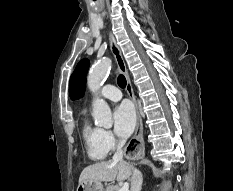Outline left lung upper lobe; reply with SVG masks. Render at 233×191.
<instances>
[{"label": "left lung upper lobe", "mask_w": 233, "mask_h": 191, "mask_svg": "<svg viewBox=\"0 0 233 191\" xmlns=\"http://www.w3.org/2000/svg\"><path fill=\"white\" fill-rule=\"evenodd\" d=\"M89 67V60H81L70 78L69 95L72 100H77L84 95L86 74Z\"/></svg>", "instance_id": "5c2ea615"}]
</instances>
